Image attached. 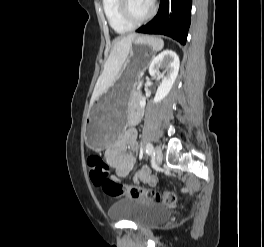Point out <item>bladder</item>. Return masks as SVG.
Wrapping results in <instances>:
<instances>
[{
    "instance_id": "obj_1",
    "label": "bladder",
    "mask_w": 264,
    "mask_h": 247,
    "mask_svg": "<svg viewBox=\"0 0 264 247\" xmlns=\"http://www.w3.org/2000/svg\"><path fill=\"white\" fill-rule=\"evenodd\" d=\"M108 214L113 220L130 221L140 226L160 223L168 217L167 210L158 203L135 198L118 199Z\"/></svg>"
}]
</instances>
